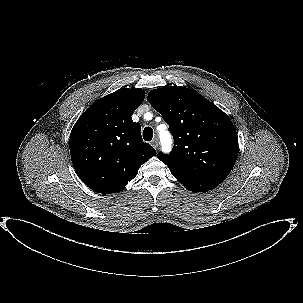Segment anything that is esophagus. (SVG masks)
Returning <instances> with one entry per match:
<instances>
[{
    "instance_id": "1",
    "label": "esophagus",
    "mask_w": 303,
    "mask_h": 303,
    "mask_svg": "<svg viewBox=\"0 0 303 303\" xmlns=\"http://www.w3.org/2000/svg\"><path fill=\"white\" fill-rule=\"evenodd\" d=\"M151 145L155 148V149H157L158 148V139L157 138H155V139H153L152 141H151Z\"/></svg>"
}]
</instances>
